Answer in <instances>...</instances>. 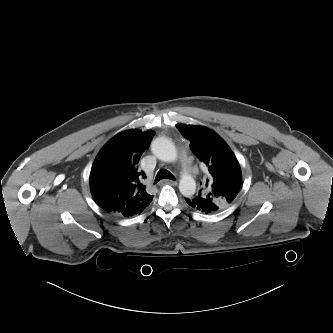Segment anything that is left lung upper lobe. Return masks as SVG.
<instances>
[{"label":"left lung upper lobe","instance_id":"1","mask_svg":"<svg viewBox=\"0 0 333 333\" xmlns=\"http://www.w3.org/2000/svg\"><path fill=\"white\" fill-rule=\"evenodd\" d=\"M178 130L190 140V148L208 167L206 188L199 197L214 202L219 210L228 208L242 186L240 165L226 142L204 126L178 123Z\"/></svg>","mask_w":333,"mask_h":333}]
</instances>
